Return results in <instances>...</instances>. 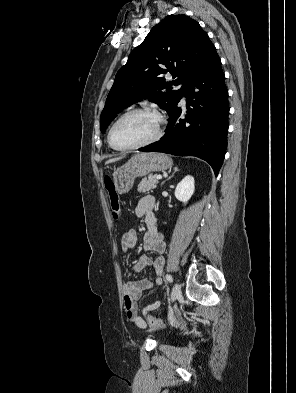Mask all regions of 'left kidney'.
Instances as JSON below:
<instances>
[{
	"instance_id": "left-kidney-1",
	"label": "left kidney",
	"mask_w": 296,
	"mask_h": 393,
	"mask_svg": "<svg viewBox=\"0 0 296 393\" xmlns=\"http://www.w3.org/2000/svg\"><path fill=\"white\" fill-rule=\"evenodd\" d=\"M194 190H195L194 178L191 175H187L177 185L175 189V197L177 198V200L185 204L192 197Z\"/></svg>"
}]
</instances>
